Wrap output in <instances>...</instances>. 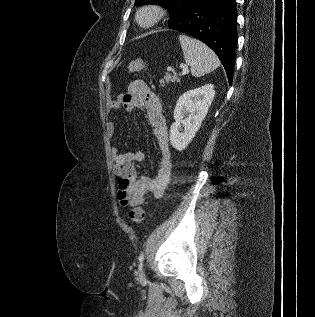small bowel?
Segmentation results:
<instances>
[{"label": "small bowel", "instance_id": "obj_1", "mask_svg": "<svg viewBox=\"0 0 315 317\" xmlns=\"http://www.w3.org/2000/svg\"><path fill=\"white\" fill-rule=\"evenodd\" d=\"M123 107L128 115L144 110L147 121L153 129L160 150L159 168L155 175L138 176L135 164L145 159L142 151L119 153L116 145H111L113 172L118 180L117 197L123 206H137L151 194L156 198L163 195L171 175L172 154L169 145L168 129L162 105L157 95L141 80L129 84L125 94L108 103L109 111ZM116 124L108 122L106 134L112 139Z\"/></svg>", "mask_w": 315, "mask_h": 317}]
</instances>
